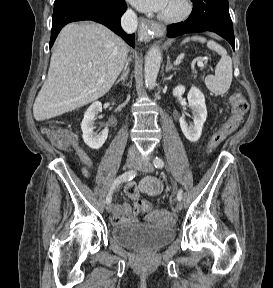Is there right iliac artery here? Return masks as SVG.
Returning a JSON list of instances; mask_svg holds the SVG:
<instances>
[{
    "mask_svg": "<svg viewBox=\"0 0 273 288\" xmlns=\"http://www.w3.org/2000/svg\"><path fill=\"white\" fill-rule=\"evenodd\" d=\"M137 174V171L136 170H129L125 173H123L122 175L118 176L113 184H112V187L106 197V203L109 204L111 203V200H112V193H113V190L121 183L123 182H127V181H130L132 180Z\"/></svg>",
    "mask_w": 273,
    "mask_h": 288,
    "instance_id": "1",
    "label": "right iliac artery"
}]
</instances>
